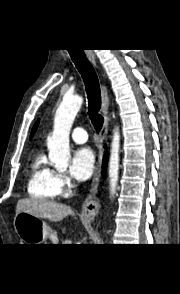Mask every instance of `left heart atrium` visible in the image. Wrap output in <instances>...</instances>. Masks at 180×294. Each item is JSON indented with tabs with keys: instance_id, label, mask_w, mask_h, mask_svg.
<instances>
[{
	"instance_id": "1",
	"label": "left heart atrium",
	"mask_w": 180,
	"mask_h": 294,
	"mask_svg": "<svg viewBox=\"0 0 180 294\" xmlns=\"http://www.w3.org/2000/svg\"><path fill=\"white\" fill-rule=\"evenodd\" d=\"M95 168V155L88 147H82L75 151L72 164L71 174L79 180H87L93 173Z\"/></svg>"
}]
</instances>
